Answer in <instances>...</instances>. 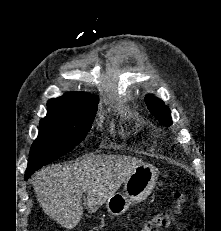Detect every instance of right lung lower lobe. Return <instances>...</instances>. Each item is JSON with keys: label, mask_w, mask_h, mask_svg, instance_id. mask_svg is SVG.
<instances>
[{"label": "right lung lower lobe", "mask_w": 221, "mask_h": 231, "mask_svg": "<svg viewBox=\"0 0 221 231\" xmlns=\"http://www.w3.org/2000/svg\"><path fill=\"white\" fill-rule=\"evenodd\" d=\"M36 170H26V173H25V180H27L31 174H33Z\"/></svg>", "instance_id": "1"}]
</instances>
